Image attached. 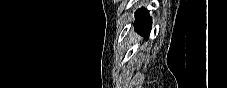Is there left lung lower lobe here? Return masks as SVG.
<instances>
[{
    "instance_id": "1",
    "label": "left lung lower lobe",
    "mask_w": 227,
    "mask_h": 88,
    "mask_svg": "<svg viewBox=\"0 0 227 88\" xmlns=\"http://www.w3.org/2000/svg\"><path fill=\"white\" fill-rule=\"evenodd\" d=\"M151 17L148 14V10L146 9H138L135 13V31L139 34L149 37V33L151 30Z\"/></svg>"
}]
</instances>
